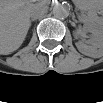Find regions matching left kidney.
Wrapping results in <instances>:
<instances>
[{
    "mask_svg": "<svg viewBox=\"0 0 103 103\" xmlns=\"http://www.w3.org/2000/svg\"><path fill=\"white\" fill-rule=\"evenodd\" d=\"M87 45L82 41L76 43L77 49L84 55L90 57H99L102 54L103 36L102 32L92 31V37Z\"/></svg>",
    "mask_w": 103,
    "mask_h": 103,
    "instance_id": "left-kidney-1",
    "label": "left kidney"
}]
</instances>
